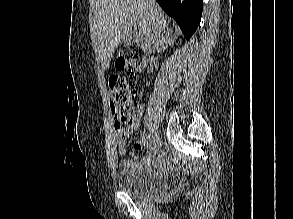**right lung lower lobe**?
<instances>
[{"instance_id": "1", "label": "right lung lower lobe", "mask_w": 293, "mask_h": 219, "mask_svg": "<svg viewBox=\"0 0 293 219\" xmlns=\"http://www.w3.org/2000/svg\"><path fill=\"white\" fill-rule=\"evenodd\" d=\"M156 1L169 16L174 18L186 40H189L200 23L203 0Z\"/></svg>"}]
</instances>
